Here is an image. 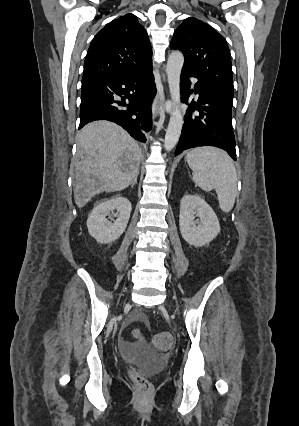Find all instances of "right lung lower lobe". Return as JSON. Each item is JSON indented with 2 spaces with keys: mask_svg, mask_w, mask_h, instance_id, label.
<instances>
[{
  "mask_svg": "<svg viewBox=\"0 0 299 426\" xmlns=\"http://www.w3.org/2000/svg\"><path fill=\"white\" fill-rule=\"evenodd\" d=\"M156 93L152 66L106 80L82 82L80 125L109 120L145 142L151 130V103Z\"/></svg>",
  "mask_w": 299,
  "mask_h": 426,
  "instance_id": "right-lung-lower-lobe-1",
  "label": "right lung lower lobe"
}]
</instances>
